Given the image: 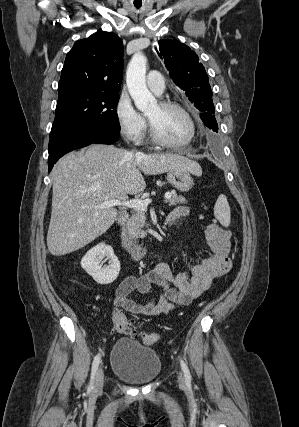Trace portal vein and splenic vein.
I'll return each mask as SVG.
<instances>
[{
	"mask_svg": "<svg viewBox=\"0 0 299 427\" xmlns=\"http://www.w3.org/2000/svg\"><path fill=\"white\" fill-rule=\"evenodd\" d=\"M171 197L170 193H166L164 198L169 199ZM152 202L151 199L146 200H140V199H133L126 202H121L119 200H109L101 204L100 207L107 208V207H113V206H122V207H128L133 208L134 210H140V211H147L148 205Z\"/></svg>",
	"mask_w": 299,
	"mask_h": 427,
	"instance_id": "obj_1",
	"label": "portal vein and splenic vein"
}]
</instances>
